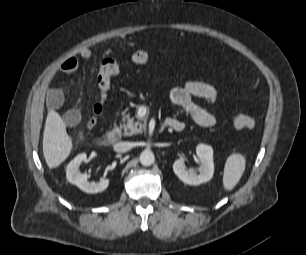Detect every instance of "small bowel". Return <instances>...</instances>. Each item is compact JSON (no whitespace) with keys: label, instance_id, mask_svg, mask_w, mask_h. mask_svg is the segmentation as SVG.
Listing matches in <instances>:
<instances>
[{"label":"small bowel","instance_id":"small-bowel-1","mask_svg":"<svg viewBox=\"0 0 306 255\" xmlns=\"http://www.w3.org/2000/svg\"><path fill=\"white\" fill-rule=\"evenodd\" d=\"M82 59H89L91 51L82 49L79 53ZM79 68V60L76 56L65 58L60 66L59 71L66 74L74 73ZM56 72L50 73L45 80L48 88V106L51 109H57L63 102V94L55 86ZM194 98H202L215 103L218 99V92L214 86L203 81L187 80L182 86L171 90L169 94L170 102L182 108L188 116L199 126L210 128L216 124L215 116L198 105ZM63 120L68 126H74L80 121V113L77 110H69L63 115ZM166 121L172 123V129L181 131L185 124L177 118H169Z\"/></svg>","mask_w":306,"mask_h":255}]
</instances>
